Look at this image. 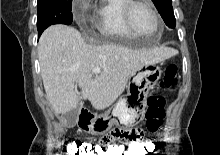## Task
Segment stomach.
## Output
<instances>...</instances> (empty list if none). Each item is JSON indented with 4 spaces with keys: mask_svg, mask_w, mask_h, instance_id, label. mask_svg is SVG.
Segmentation results:
<instances>
[{
    "mask_svg": "<svg viewBox=\"0 0 220 155\" xmlns=\"http://www.w3.org/2000/svg\"><path fill=\"white\" fill-rule=\"evenodd\" d=\"M142 68L132 76L127 94L118 100L111 111L91 119L86 126L82 127L84 131L102 134L114 124L135 126L143 120L147 96L156 86L162 70L155 64Z\"/></svg>",
    "mask_w": 220,
    "mask_h": 155,
    "instance_id": "stomach-1",
    "label": "stomach"
}]
</instances>
